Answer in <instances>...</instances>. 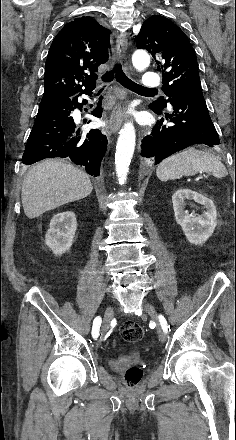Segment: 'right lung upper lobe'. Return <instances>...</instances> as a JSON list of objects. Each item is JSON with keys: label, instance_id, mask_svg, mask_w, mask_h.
Wrapping results in <instances>:
<instances>
[{"label": "right lung upper lobe", "instance_id": "1", "mask_svg": "<svg viewBox=\"0 0 236 440\" xmlns=\"http://www.w3.org/2000/svg\"><path fill=\"white\" fill-rule=\"evenodd\" d=\"M109 44L110 31L91 17L66 24L49 49L41 101L92 93L98 66L108 61Z\"/></svg>", "mask_w": 236, "mask_h": 440}]
</instances>
